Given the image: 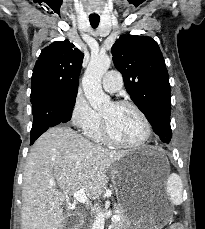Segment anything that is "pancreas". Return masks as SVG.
Instances as JSON below:
<instances>
[{
  "label": "pancreas",
  "mask_w": 205,
  "mask_h": 229,
  "mask_svg": "<svg viewBox=\"0 0 205 229\" xmlns=\"http://www.w3.org/2000/svg\"><path fill=\"white\" fill-rule=\"evenodd\" d=\"M118 208L120 207L118 206ZM117 215L120 216L121 219L119 221L112 222V229H130V223L125 217L123 211L121 210L120 212L117 213Z\"/></svg>",
  "instance_id": "pancreas-1"
}]
</instances>
